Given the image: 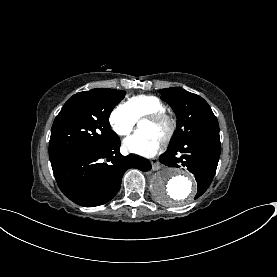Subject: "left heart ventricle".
I'll list each match as a JSON object with an SVG mask.
<instances>
[{
  "label": "left heart ventricle",
  "instance_id": "obj_1",
  "mask_svg": "<svg viewBox=\"0 0 277 277\" xmlns=\"http://www.w3.org/2000/svg\"><path fill=\"white\" fill-rule=\"evenodd\" d=\"M141 131L149 132L158 138H161L166 132V125L162 122H155L148 119H143L139 123Z\"/></svg>",
  "mask_w": 277,
  "mask_h": 277
}]
</instances>
